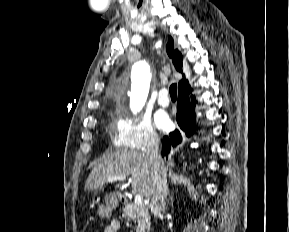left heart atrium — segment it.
<instances>
[{
    "label": "left heart atrium",
    "mask_w": 289,
    "mask_h": 232,
    "mask_svg": "<svg viewBox=\"0 0 289 232\" xmlns=\"http://www.w3.org/2000/svg\"><path fill=\"white\" fill-rule=\"evenodd\" d=\"M155 122L160 129H167L170 126V119L164 112H158L155 116Z\"/></svg>",
    "instance_id": "left-heart-atrium-1"
}]
</instances>
